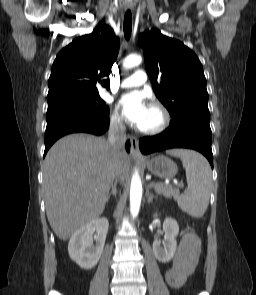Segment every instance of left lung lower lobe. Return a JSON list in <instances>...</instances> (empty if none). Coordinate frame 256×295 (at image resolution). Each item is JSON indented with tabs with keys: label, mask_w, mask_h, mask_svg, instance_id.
Segmentation results:
<instances>
[{
	"label": "left lung lower lobe",
	"mask_w": 256,
	"mask_h": 295,
	"mask_svg": "<svg viewBox=\"0 0 256 295\" xmlns=\"http://www.w3.org/2000/svg\"><path fill=\"white\" fill-rule=\"evenodd\" d=\"M139 147L143 154L171 148L194 149L201 152L213 167L210 125L198 119L188 118L170 124L162 133L142 138Z\"/></svg>",
	"instance_id": "0a47b994"
}]
</instances>
